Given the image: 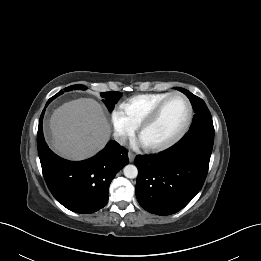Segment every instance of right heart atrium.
<instances>
[{
  "instance_id": "d8ad5b80",
  "label": "right heart atrium",
  "mask_w": 261,
  "mask_h": 261,
  "mask_svg": "<svg viewBox=\"0 0 261 261\" xmlns=\"http://www.w3.org/2000/svg\"><path fill=\"white\" fill-rule=\"evenodd\" d=\"M114 136L119 143H124L133 136L135 127L129 122L120 109H113L110 115Z\"/></svg>"
}]
</instances>
